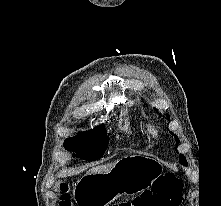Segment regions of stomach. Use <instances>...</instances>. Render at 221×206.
Masks as SVG:
<instances>
[{
  "label": "stomach",
  "mask_w": 221,
  "mask_h": 206,
  "mask_svg": "<svg viewBox=\"0 0 221 206\" xmlns=\"http://www.w3.org/2000/svg\"><path fill=\"white\" fill-rule=\"evenodd\" d=\"M161 162L152 157L131 155L118 160L105 174H86L80 181L85 193L78 206H107L123 194H137L148 189L162 173Z\"/></svg>",
  "instance_id": "obj_1"
}]
</instances>
